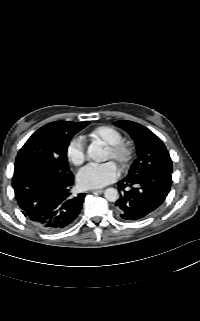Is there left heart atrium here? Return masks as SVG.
Wrapping results in <instances>:
<instances>
[{
	"instance_id": "left-heart-atrium-1",
	"label": "left heart atrium",
	"mask_w": 200,
	"mask_h": 321,
	"mask_svg": "<svg viewBox=\"0 0 200 321\" xmlns=\"http://www.w3.org/2000/svg\"><path fill=\"white\" fill-rule=\"evenodd\" d=\"M118 175L115 163L108 161L86 165L78 172L77 179L83 188H100L114 182Z\"/></svg>"
}]
</instances>
